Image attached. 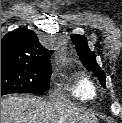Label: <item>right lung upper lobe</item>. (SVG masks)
<instances>
[{
    "mask_svg": "<svg viewBox=\"0 0 122 123\" xmlns=\"http://www.w3.org/2000/svg\"><path fill=\"white\" fill-rule=\"evenodd\" d=\"M52 52L45 49L39 42L37 35L26 28L9 32L1 41V58L49 61Z\"/></svg>",
    "mask_w": 122,
    "mask_h": 123,
    "instance_id": "obj_1",
    "label": "right lung upper lobe"
}]
</instances>
